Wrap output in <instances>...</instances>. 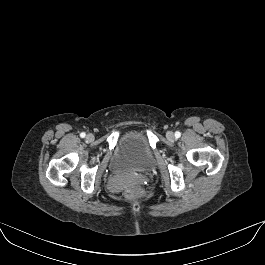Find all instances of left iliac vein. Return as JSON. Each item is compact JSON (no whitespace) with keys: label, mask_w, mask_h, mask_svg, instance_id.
Returning <instances> with one entry per match:
<instances>
[{"label":"left iliac vein","mask_w":265,"mask_h":265,"mask_svg":"<svg viewBox=\"0 0 265 265\" xmlns=\"http://www.w3.org/2000/svg\"><path fill=\"white\" fill-rule=\"evenodd\" d=\"M166 137H167V139L170 140V141H173V140L175 139L174 133L171 132V131H168V132L166 133Z\"/></svg>","instance_id":"left-iliac-vein-1"}]
</instances>
